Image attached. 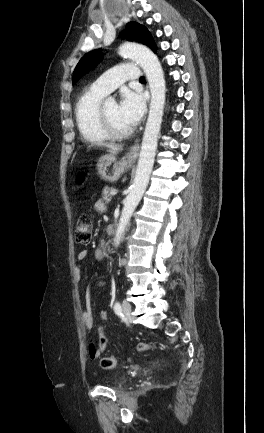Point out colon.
<instances>
[{
  "label": "colon",
  "instance_id": "5ec220e1",
  "mask_svg": "<svg viewBox=\"0 0 264 433\" xmlns=\"http://www.w3.org/2000/svg\"><path fill=\"white\" fill-rule=\"evenodd\" d=\"M79 182H82V178H79ZM75 241L80 245H87L90 243L92 238V222L91 218L87 214L80 216L78 224L75 230ZM107 339L104 334V328L102 325L98 327V345L103 351L106 347ZM155 346L150 342H140L138 344V349L140 351H147L153 349ZM118 360L114 356H103L100 359V366L104 369H113L117 366Z\"/></svg>",
  "mask_w": 264,
  "mask_h": 433
}]
</instances>
